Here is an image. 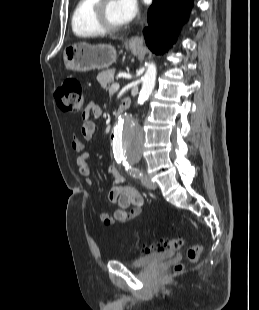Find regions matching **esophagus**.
<instances>
[{
  "instance_id": "34e87169",
  "label": "esophagus",
  "mask_w": 259,
  "mask_h": 310,
  "mask_svg": "<svg viewBox=\"0 0 259 310\" xmlns=\"http://www.w3.org/2000/svg\"><path fill=\"white\" fill-rule=\"evenodd\" d=\"M143 42H144L143 37L140 35H136L129 39L128 44L132 48L139 49V48H142Z\"/></svg>"
}]
</instances>
